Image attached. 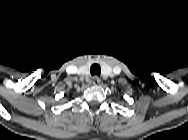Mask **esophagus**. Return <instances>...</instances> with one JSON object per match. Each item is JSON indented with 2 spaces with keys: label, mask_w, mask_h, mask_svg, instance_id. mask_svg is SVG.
Segmentation results:
<instances>
[{
  "label": "esophagus",
  "mask_w": 188,
  "mask_h": 140,
  "mask_svg": "<svg viewBox=\"0 0 188 140\" xmlns=\"http://www.w3.org/2000/svg\"><path fill=\"white\" fill-rule=\"evenodd\" d=\"M92 81L95 85H99L101 83V79L98 76H94Z\"/></svg>",
  "instance_id": "34e87169"
}]
</instances>
